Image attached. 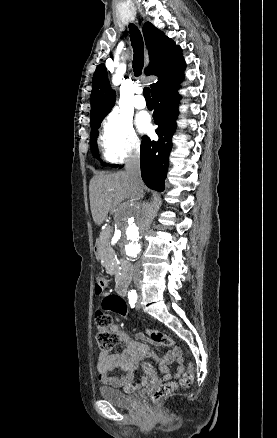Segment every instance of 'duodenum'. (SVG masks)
I'll list each match as a JSON object with an SVG mask.
<instances>
[{"instance_id":"obj_1","label":"duodenum","mask_w":277,"mask_h":438,"mask_svg":"<svg viewBox=\"0 0 277 438\" xmlns=\"http://www.w3.org/2000/svg\"><path fill=\"white\" fill-rule=\"evenodd\" d=\"M94 253L97 257H100V245L99 243L95 244ZM121 272L117 276L116 280V291L120 295H125L127 293V284H126V276L130 271V263L126 260H121L120 262Z\"/></svg>"}]
</instances>
